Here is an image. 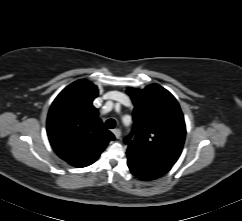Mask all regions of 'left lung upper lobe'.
Listing matches in <instances>:
<instances>
[{
  "label": "left lung upper lobe",
  "instance_id": "left-lung-upper-lobe-1",
  "mask_svg": "<svg viewBox=\"0 0 242 221\" xmlns=\"http://www.w3.org/2000/svg\"><path fill=\"white\" fill-rule=\"evenodd\" d=\"M127 93L135 106L134 127L125 139L127 151L174 165L181 154L186 134L177 100L158 84L148 85L143 90L128 88Z\"/></svg>",
  "mask_w": 242,
  "mask_h": 221
}]
</instances>
